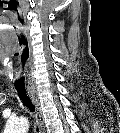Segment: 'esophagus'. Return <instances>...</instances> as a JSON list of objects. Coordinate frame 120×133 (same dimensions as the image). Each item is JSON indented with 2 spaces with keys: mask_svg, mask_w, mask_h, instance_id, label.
Returning <instances> with one entry per match:
<instances>
[{
  "mask_svg": "<svg viewBox=\"0 0 120 133\" xmlns=\"http://www.w3.org/2000/svg\"><path fill=\"white\" fill-rule=\"evenodd\" d=\"M28 95L36 109V120H37L38 127L40 129V133H46L45 128H44L43 115H42L38 95H37L36 91L32 90V89L28 90Z\"/></svg>",
  "mask_w": 120,
  "mask_h": 133,
  "instance_id": "1",
  "label": "esophagus"
}]
</instances>
